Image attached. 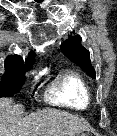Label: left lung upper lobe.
<instances>
[{
    "label": "left lung upper lobe",
    "mask_w": 117,
    "mask_h": 136,
    "mask_svg": "<svg viewBox=\"0 0 117 136\" xmlns=\"http://www.w3.org/2000/svg\"><path fill=\"white\" fill-rule=\"evenodd\" d=\"M63 54L79 65L91 78H95V70L90 62V53L81 45V37L70 36L61 44Z\"/></svg>",
    "instance_id": "1"
}]
</instances>
